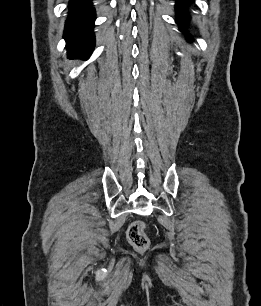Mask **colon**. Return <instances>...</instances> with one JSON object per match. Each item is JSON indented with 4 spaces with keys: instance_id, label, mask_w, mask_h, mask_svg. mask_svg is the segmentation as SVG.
Here are the masks:
<instances>
[{
    "instance_id": "5ec220e1",
    "label": "colon",
    "mask_w": 261,
    "mask_h": 306,
    "mask_svg": "<svg viewBox=\"0 0 261 306\" xmlns=\"http://www.w3.org/2000/svg\"><path fill=\"white\" fill-rule=\"evenodd\" d=\"M127 237L130 244L136 250H145L149 245V239L145 232V225L142 221H135L129 226Z\"/></svg>"
}]
</instances>
